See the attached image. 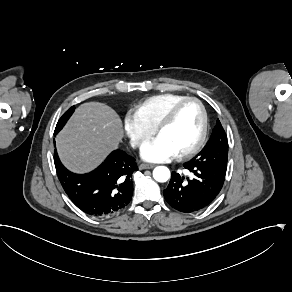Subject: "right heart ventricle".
Segmentation results:
<instances>
[{"mask_svg":"<svg viewBox=\"0 0 292 292\" xmlns=\"http://www.w3.org/2000/svg\"><path fill=\"white\" fill-rule=\"evenodd\" d=\"M187 97L179 93H161L150 96L135 104L133 111L148 127L155 128L160 117L176 101Z\"/></svg>","mask_w":292,"mask_h":292,"instance_id":"1","label":"right heart ventricle"}]
</instances>
